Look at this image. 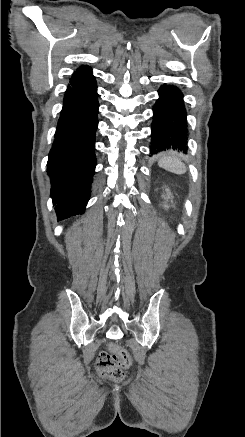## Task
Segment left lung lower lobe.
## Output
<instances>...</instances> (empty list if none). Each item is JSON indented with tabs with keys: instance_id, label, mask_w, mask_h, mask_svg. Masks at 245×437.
Here are the masks:
<instances>
[{
	"instance_id": "obj_1",
	"label": "left lung lower lobe",
	"mask_w": 245,
	"mask_h": 437,
	"mask_svg": "<svg viewBox=\"0 0 245 437\" xmlns=\"http://www.w3.org/2000/svg\"><path fill=\"white\" fill-rule=\"evenodd\" d=\"M159 99L153 107L151 153L187 150V121L183 94L179 88L162 85Z\"/></svg>"
}]
</instances>
